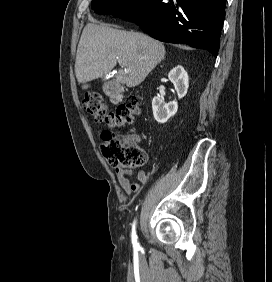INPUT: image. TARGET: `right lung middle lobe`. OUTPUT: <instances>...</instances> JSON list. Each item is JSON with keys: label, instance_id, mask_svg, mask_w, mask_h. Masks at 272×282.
<instances>
[{"label": "right lung middle lobe", "instance_id": "right-lung-middle-lobe-1", "mask_svg": "<svg viewBox=\"0 0 272 282\" xmlns=\"http://www.w3.org/2000/svg\"><path fill=\"white\" fill-rule=\"evenodd\" d=\"M139 0H92V9L98 14H113Z\"/></svg>", "mask_w": 272, "mask_h": 282}]
</instances>
